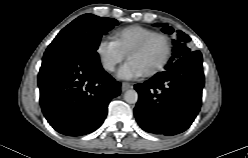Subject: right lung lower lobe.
Wrapping results in <instances>:
<instances>
[{
  "mask_svg": "<svg viewBox=\"0 0 248 158\" xmlns=\"http://www.w3.org/2000/svg\"><path fill=\"white\" fill-rule=\"evenodd\" d=\"M44 116L59 133L80 136L95 131L107 115L120 83L106 73L97 52L48 47L38 74Z\"/></svg>",
  "mask_w": 248,
  "mask_h": 158,
  "instance_id": "right-lung-lower-lobe-1",
  "label": "right lung lower lobe"
}]
</instances>
